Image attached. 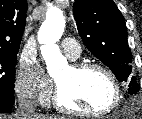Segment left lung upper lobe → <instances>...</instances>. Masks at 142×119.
<instances>
[{
  "mask_svg": "<svg viewBox=\"0 0 142 119\" xmlns=\"http://www.w3.org/2000/svg\"><path fill=\"white\" fill-rule=\"evenodd\" d=\"M73 13L88 50L110 68L119 82H129L130 94L137 93L140 87L131 75L126 24L116 4L112 0H76Z\"/></svg>",
  "mask_w": 142,
  "mask_h": 119,
  "instance_id": "5c2ea615",
  "label": "left lung upper lobe"
}]
</instances>
